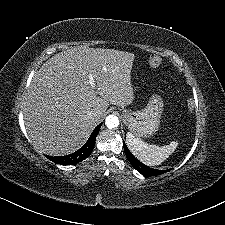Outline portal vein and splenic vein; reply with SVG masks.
<instances>
[{
	"label": "portal vein and splenic vein",
	"mask_w": 225,
	"mask_h": 225,
	"mask_svg": "<svg viewBox=\"0 0 225 225\" xmlns=\"http://www.w3.org/2000/svg\"><path fill=\"white\" fill-rule=\"evenodd\" d=\"M89 79H90V85L94 86V79H93L92 74L89 75Z\"/></svg>",
	"instance_id": "obj_1"
}]
</instances>
